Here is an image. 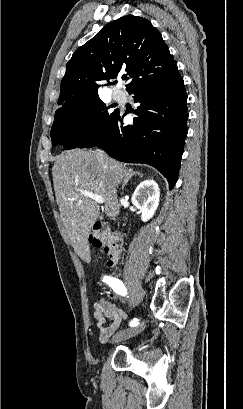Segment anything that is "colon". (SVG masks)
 Here are the masks:
<instances>
[{
	"instance_id": "obj_1",
	"label": "colon",
	"mask_w": 243,
	"mask_h": 409,
	"mask_svg": "<svg viewBox=\"0 0 243 409\" xmlns=\"http://www.w3.org/2000/svg\"><path fill=\"white\" fill-rule=\"evenodd\" d=\"M89 244L104 249L109 257L107 261L109 267L117 264L122 246V238L118 234L108 233L99 223H96L89 235Z\"/></svg>"
}]
</instances>
